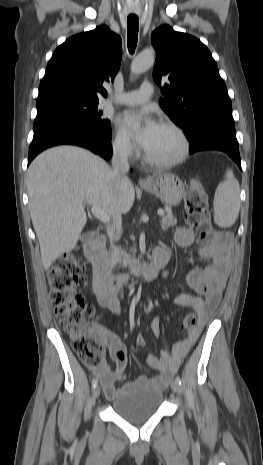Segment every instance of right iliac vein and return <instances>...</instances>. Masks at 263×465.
Wrapping results in <instances>:
<instances>
[{
  "mask_svg": "<svg viewBox=\"0 0 263 465\" xmlns=\"http://www.w3.org/2000/svg\"><path fill=\"white\" fill-rule=\"evenodd\" d=\"M99 395H100V387L97 386V387H95V388L93 389V396H94V398H98Z\"/></svg>",
  "mask_w": 263,
  "mask_h": 465,
  "instance_id": "1",
  "label": "right iliac vein"
}]
</instances>
